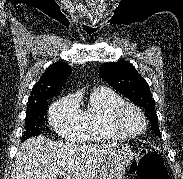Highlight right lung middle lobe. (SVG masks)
Masks as SVG:
<instances>
[{"label": "right lung middle lobe", "instance_id": "dd1d6c3e", "mask_svg": "<svg viewBox=\"0 0 183 179\" xmlns=\"http://www.w3.org/2000/svg\"><path fill=\"white\" fill-rule=\"evenodd\" d=\"M48 101L40 104L27 106V115L25 119L26 127L22 135V141L40 134V127L44 123V116L47 115Z\"/></svg>", "mask_w": 183, "mask_h": 179}]
</instances>
